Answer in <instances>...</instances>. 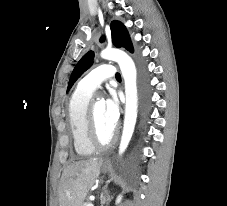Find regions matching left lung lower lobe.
I'll return each mask as SVG.
<instances>
[{"instance_id": "left-lung-lower-lobe-1", "label": "left lung lower lobe", "mask_w": 227, "mask_h": 206, "mask_svg": "<svg viewBox=\"0 0 227 206\" xmlns=\"http://www.w3.org/2000/svg\"><path fill=\"white\" fill-rule=\"evenodd\" d=\"M147 84H148V83H147V79H146V80H145V87H146V90H147Z\"/></svg>"}]
</instances>
